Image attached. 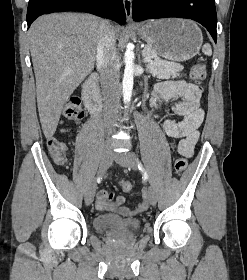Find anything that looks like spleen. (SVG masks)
Instances as JSON below:
<instances>
[{
	"label": "spleen",
	"instance_id": "3e777b00",
	"mask_svg": "<svg viewBox=\"0 0 247 280\" xmlns=\"http://www.w3.org/2000/svg\"><path fill=\"white\" fill-rule=\"evenodd\" d=\"M202 52L205 54V55H208V56H211L212 55V49H211V46L209 44H205L202 48Z\"/></svg>",
	"mask_w": 247,
	"mask_h": 280
}]
</instances>
